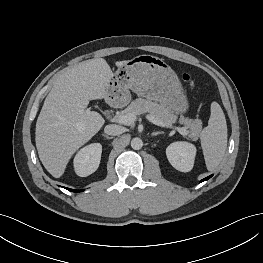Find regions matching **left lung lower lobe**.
<instances>
[{
	"instance_id": "1",
	"label": "left lung lower lobe",
	"mask_w": 263,
	"mask_h": 263,
	"mask_svg": "<svg viewBox=\"0 0 263 263\" xmlns=\"http://www.w3.org/2000/svg\"><path fill=\"white\" fill-rule=\"evenodd\" d=\"M212 176V175H211ZM211 176L207 177V178H204L203 180H201V182L205 181V180H208Z\"/></svg>"
}]
</instances>
